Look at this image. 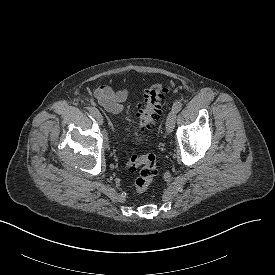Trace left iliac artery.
<instances>
[{"label":"left iliac artery","mask_w":275,"mask_h":275,"mask_svg":"<svg viewBox=\"0 0 275 275\" xmlns=\"http://www.w3.org/2000/svg\"><path fill=\"white\" fill-rule=\"evenodd\" d=\"M182 109V103L180 101H176L173 104L172 110L178 113Z\"/></svg>","instance_id":"left-iliac-artery-1"}]
</instances>
